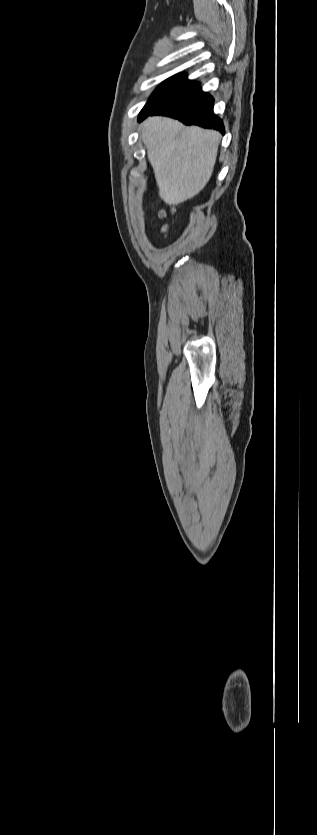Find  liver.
<instances>
[{
  "instance_id": "6515ba94",
  "label": "liver",
  "mask_w": 317,
  "mask_h": 835,
  "mask_svg": "<svg viewBox=\"0 0 317 835\" xmlns=\"http://www.w3.org/2000/svg\"><path fill=\"white\" fill-rule=\"evenodd\" d=\"M141 138L166 204L191 199L206 186L216 163L219 132L154 116L141 125Z\"/></svg>"
}]
</instances>
